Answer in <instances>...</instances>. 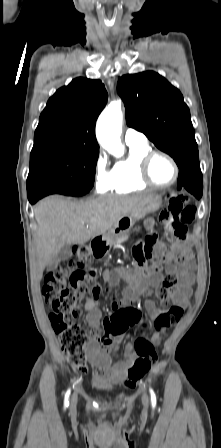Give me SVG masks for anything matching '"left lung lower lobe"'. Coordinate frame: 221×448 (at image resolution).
<instances>
[{"instance_id":"left-lung-lower-lobe-1","label":"left lung lower lobe","mask_w":221,"mask_h":448,"mask_svg":"<svg viewBox=\"0 0 221 448\" xmlns=\"http://www.w3.org/2000/svg\"><path fill=\"white\" fill-rule=\"evenodd\" d=\"M177 188H185L197 199L202 197L203 178L200 167H191L179 172Z\"/></svg>"}]
</instances>
